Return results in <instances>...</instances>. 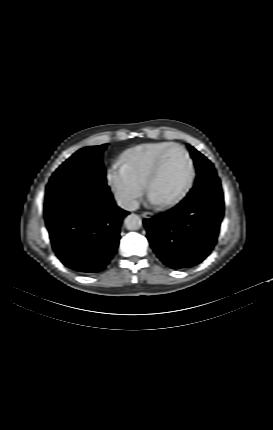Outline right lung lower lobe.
Instances as JSON below:
<instances>
[{
    "instance_id": "98d812e1",
    "label": "right lung lower lobe",
    "mask_w": 273,
    "mask_h": 430,
    "mask_svg": "<svg viewBox=\"0 0 273 430\" xmlns=\"http://www.w3.org/2000/svg\"><path fill=\"white\" fill-rule=\"evenodd\" d=\"M127 214L116 206L110 193H85L44 209L56 255L66 267L85 275L100 272L109 264Z\"/></svg>"
}]
</instances>
